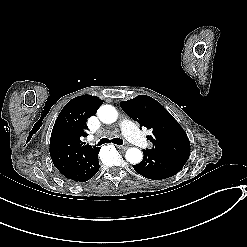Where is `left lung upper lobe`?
<instances>
[{"mask_svg":"<svg viewBox=\"0 0 247 247\" xmlns=\"http://www.w3.org/2000/svg\"><path fill=\"white\" fill-rule=\"evenodd\" d=\"M120 104L129 117L152 131V135L147 136L153 143L150 150L182 164L187 162L190 155L189 139L180 124L158 101L147 95H139Z\"/></svg>","mask_w":247,"mask_h":247,"instance_id":"1","label":"left lung upper lobe"}]
</instances>
